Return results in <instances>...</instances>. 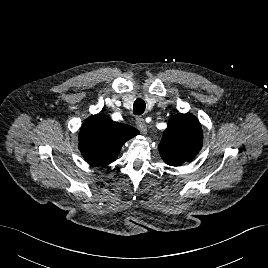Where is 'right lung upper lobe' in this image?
I'll use <instances>...</instances> for the list:
<instances>
[{"instance_id":"obj_1","label":"right lung upper lobe","mask_w":268,"mask_h":268,"mask_svg":"<svg viewBox=\"0 0 268 268\" xmlns=\"http://www.w3.org/2000/svg\"><path fill=\"white\" fill-rule=\"evenodd\" d=\"M138 134L130 125L96 114L87 118L81 127L79 149L90 164L105 166L115 161L123 144Z\"/></svg>"}]
</instances>
